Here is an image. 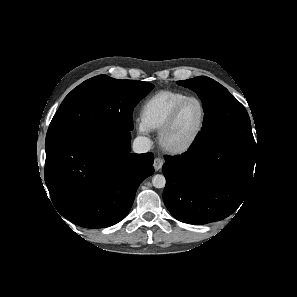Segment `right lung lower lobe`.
<instances>
[{
    "instance_id": "obj_1",
    "label": "right lung lower lobe",
    "mask_w": 297,
    "mask_h": 297,
    "mask_svg": "<svg viewBox=\"0 0 297 297\" xmlns=\"http://www.w3.org/2000/svg\"><path fill=\"white\" fill-rule=\"evenodd\" d=\"M130 131L94 133L48 153L45 182L54 206L85 228L120 222L140 183L153 174L151 153H130Z\"/></svg>"
}]
</instances>
